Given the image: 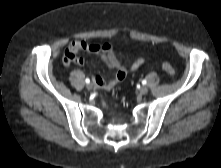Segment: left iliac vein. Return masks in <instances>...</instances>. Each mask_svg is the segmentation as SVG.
<instances>
[{"label": "left iliac vein", "instance_id": "obj_1", "mask_svg": "<svg viewBox=\"0 0 221 168\" xmlns=\"http://www.w3.org/2000/svg\"><path fill=\"white\" fill-rule=\"evenodd\" d=\"M139 93H140L141 95H146V94L148 93V87L142 86V87L140 88V90H139Z\"/></svg>", "mask_w": 221, "mask_h": 168}]
</instances>
